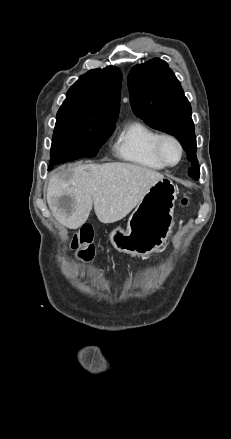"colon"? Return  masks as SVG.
<instances>
[{
    "mask_svg": "<svg viewBox=\"0 0 231 439\" xmlns=\"http://www.w3.org/2000/svg\"><path fill=\"white\" fill-rule=\"evenodd\" d=\"M187 198L182 199V204L186 205ZM94 232L91 226H83L75 234L72 247L77 250L78 258L84 262H89L95 255V247L93 244Z\"/></svg>",
    "mask_w": 231,
    "mask_h": 439,
    "instance_id": "colon-1",
    "label": "colon"
}]
</instances>
